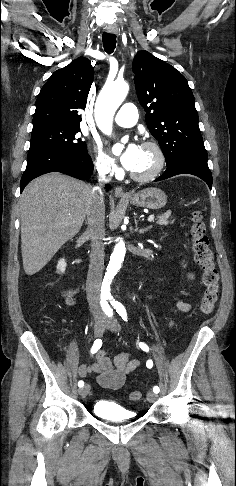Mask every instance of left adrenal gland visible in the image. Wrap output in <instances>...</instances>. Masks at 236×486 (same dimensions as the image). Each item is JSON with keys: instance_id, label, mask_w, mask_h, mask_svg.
<instances>
[{"instance_id": "1", "label": "left adrenal gland", "mask_w": 236, "mask_h": 486, "mask_svg": "<svg viewBox=\"0 0 236 486\" xmlns=\"http://www.w3.org/2000/svg\"><path fill=\"white\" fill-rule=\"evenodd\" d=\"M151 228H152V226H148V227H146V228H143V229L138 230L137 223H136V231H138L140 234H142V233H144V232L148 231V230H149V229H151Z\"/></svg>"}]
</instances>
